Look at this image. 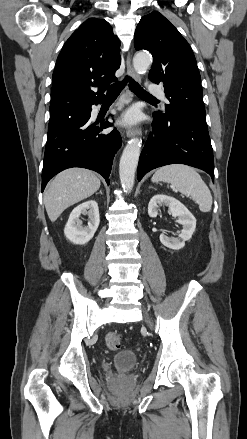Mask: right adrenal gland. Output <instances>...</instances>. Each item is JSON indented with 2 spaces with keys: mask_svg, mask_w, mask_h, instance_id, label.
I'll return each instance as SVG.
<instances>
[{
  "mask_svg": "<svg viewBox=\"0 0 247 439\" xmlns=\"http://www.w3.org/2000/svg\"><path fill=\"white\" fill-rule=\"evenodd\" d=\"M97 194H103V193H102V190H100L98 193H96V195H97Z\"/></svg>",
  "mask_w": 247,
  "mask_h": 439,
  "instance_id": "obj_1",
  "label": "right adrenal gland"
}]
</instances>
